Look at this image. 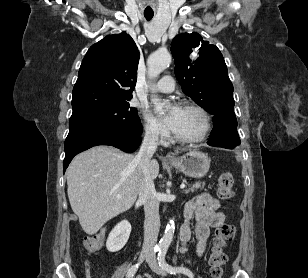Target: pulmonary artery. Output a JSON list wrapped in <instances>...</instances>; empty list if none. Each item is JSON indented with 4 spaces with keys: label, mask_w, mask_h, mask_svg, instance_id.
Returning <instances> with one entry per match:
<instances>
[{
    "label": "pulmonary artery",
    "mask_w": 308,
    "mask_h": 278,
    "mask_svg": "<svg viewBox=\"0 0 308 278\" xmlns=\"http://www.w3.org/2000/svg\"><path fill=\"white\" fill-rule=\"evenodd\" d=\"M175 83L172 77L164 76L160 79V81L153 87L154 92H161V93H170L174 90Z\"/></svg>",
    "instance_id": "e3ab8cb5"
}]
</instances>
